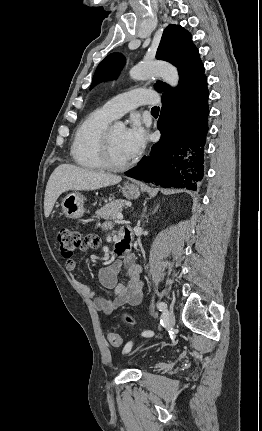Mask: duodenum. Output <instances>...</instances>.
Masks as SVG:
<instances>
[{
  "label": "duodenum",
  "mask_w": 262,
  "mask_h": 431,
  "mask_svg": "<svg viewBox=\"0 0 262 431\" xmlns=\"http://www.w3.org/2000/svg\"><path fill=\"white\" fill-rule=\"evenodd\" d=\"M129 242L130 237H123L121 240L118 241L117 246L119 247V251L121 253H126Z\"/></svg>",
  "instance_id": "obj_1"
}]
</instances>
